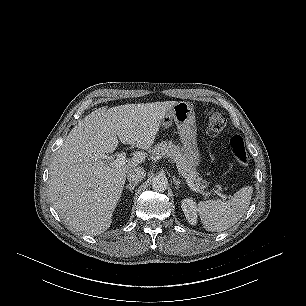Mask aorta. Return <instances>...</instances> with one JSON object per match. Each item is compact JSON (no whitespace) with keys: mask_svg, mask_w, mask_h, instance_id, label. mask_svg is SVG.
<instances>
[{"mask_svg":"<svg viewBox=\"0 0 306 306\" xmlns=\"http://www.w3.org/2000/svg\"><path fill=\"white\" fill-rule=\"evenodd\" d=\"M168 180L165 175H157L152 180V188L155 191L163 192L167 189Z\"/></svg>","mask_w":306,"mask_h":306,"instance_id":"1","label":"aorta"}]
</instances>
